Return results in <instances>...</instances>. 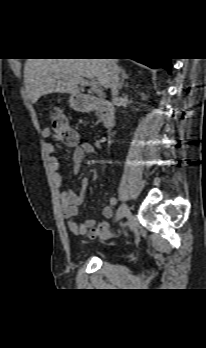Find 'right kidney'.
I'll list each match as a JSON object with an SVG mask.
<instances>
[{"mask_svg": "<svg viewBox=\"0 0 206 348\" xmlns=\"http://www.w3.org/2000/svg\"><path fill=\"white\" fill-rule=\"evenodd\" d=\"M142 99H147V97L144 95V94H142Z\"/></svg>", "mask_w": 206, "mask_h": 348, "instance_id": "ca27d5eb", "label": "right kidney"}]
</instances>
